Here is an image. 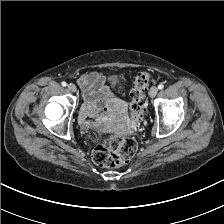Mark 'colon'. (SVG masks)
<instances>
[{
	"instance_id": "colon-1",
	"label": "colon",
	"mask_w": 224,
	"mask_h": 224,
	"mask_svg": "<svg viewBox=\"0 0 224 224\" xmlns=\"http://www.w3.org/2000/svg\"><path fill=\"white\" fill-rule=\"evenodd\" d=\"M152 81L150 72H141L136 76L131 91V119L137 123L145 108V92ZM137 143L134 139L119 135L97 136L92 152L93 161L102 167H120L127 164L135 155Z\"/></svg>"
}]
</instances>
